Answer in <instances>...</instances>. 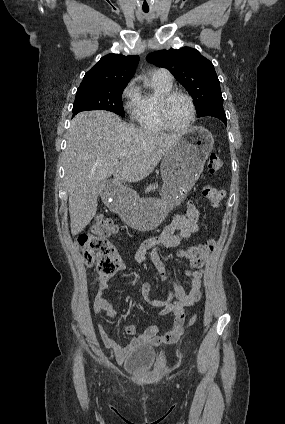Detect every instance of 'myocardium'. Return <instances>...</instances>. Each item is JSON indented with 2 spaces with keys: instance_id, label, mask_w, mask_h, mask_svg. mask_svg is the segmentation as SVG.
<instances>
[{
  "instance_id": "obj_1",
  "label": "myocardium",
  "mask_w": 285,
  "mask_h": 424,
  "mask_svg": "<svg viewBox=\"0 0 285 424\" xmlns=\"http://www.w3.org/2000/svg\"><path fill=\"white\" fill-rule=\"evenodd\" d=\"M176 96H182L184 98L187 99V101L189 102L190 108H191V114L190 117L188 119V121L183 125V126H174L172 125L167 117V106L168 103ZM196 107H195V103L193 101V98L182 91L179 90H171L167 93H165L164 95H162L159 99L158 102V116L159 119L161 121V123L164 125V127L168 130L171 131H175V132H184L187 129H189L191 127V125L193 124L195 118H196Z\"/></svg>"
}]
</instances>
